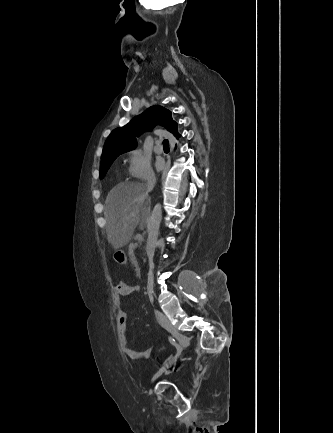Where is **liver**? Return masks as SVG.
I'll list each match as a JSON object with an SVG mask.
<instances>
[{
    "label": "liver",
    "mask_w": 333,
    "mask_h": 433,
    "mask_svg": "<svg viewBox=\"0 0 333 433\" xmlns=\"http://www.w3.org/2000/svg\"><path fill=\"white\" fill-rule=\"evenodd\" d=\"M145 183L123 182L110 190L104 207L107 240L114 250L126 246L150 204Z\"/></svg>",
    "instance_id": "obj_1"
}]
</instances>
